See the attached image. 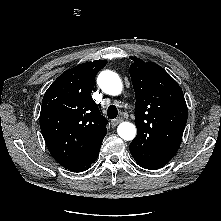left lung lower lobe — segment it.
Listing matches in <instances>:
<instances>
[{"label": "left lung lower lobe", "mask_w": 221, "mask_h": 221, "mask_svg": "<svg viewBox=\"0 0 221 221\" xmlns=\"http://www.w3.org/2000/svg\"><path fill=\"white\" fill-rule=\"evenodd\" d=\"M137 164L139 166H141V167H143L145 169H149V170H156V169L160 168V167H153V166H145V165H142V164H139V163H137Z\"/></svg>", "instance_id": "obj_1"}]
</instances>
